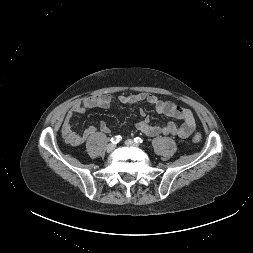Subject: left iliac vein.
<instances>
[{"mask_svg": "<svg viewBox=\"0 0 253 253\" xmlns=\"http://www.w3.org/2000/svg\"><path fill=\"white\" fill-rule=\"evenodd\" d=\"M125 145L128 147H138V144L131 139L126 140Z\"/></svg>", "mask_w": 253, "mask_h": 253, "instance_id": "4c4485c4", "label": "left iliac vein"}]
</instances>
